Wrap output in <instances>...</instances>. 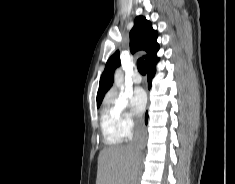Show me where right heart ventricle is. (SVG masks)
Here are the masks:
<instances>
[{"label":"right heart ventricle","instance_id":"1","mask_svg":"<svg viewBox=\"0 0 235 184\" xmlns=\"http://www.w3.org/2000/svg\"><path fill=\"white\" fill-rule=\"evenodd\" d=\"M100 121L104 141L109 146L101 154V158L104 160L112 159L122 152L123 138L116 129L113 113L109 109H102Z\"/></svg>","mask_w":235,"mask_h":184}]
</instances>
